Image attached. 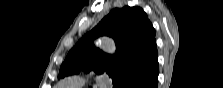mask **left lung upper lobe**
<instances>
[{"instance_id":"5c2ea615","label":"left lung upper lobe","mask_w":223,"mask_h":88,"mask_svg":"<svg viewBox=\"0 0 223 88\" xmlns=\"http://www.w3.org/2000/svg\"><path fill=\"white\" fill-rule=\"evenodd\" d=\"M155 34L142 8H115L70 50L58 78L93 70L97 74L107 73L113 88H121L157 59ZM104 35L114 39L117 46L114 55L95 48L93 40Z\"/></svg>"}]
</instances>
